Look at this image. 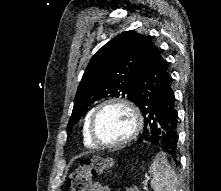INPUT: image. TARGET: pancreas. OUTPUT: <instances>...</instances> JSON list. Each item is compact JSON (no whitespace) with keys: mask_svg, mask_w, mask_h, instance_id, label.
I'll return each instance as SVG.
<instances>
[{"mask_svg":"<svg viewBox=\"0 0 221 191\" xmlns=\"http://www.w3.org/2000/svg\"><path fill=\"white\" fill-rule=\"evenodd\" d=\"M126 191H139V190L136 188H128Z\"/></svg>","mask_w":221,"mask_h":191,"instance_id":"pancreas-1","label":"pancreas"}]
</instances>
